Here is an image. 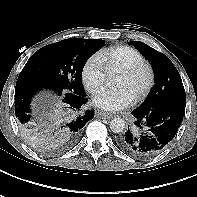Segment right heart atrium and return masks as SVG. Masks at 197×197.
<instances>
[{
  "instance_id": "1",
  "label": "right heart atrium",
  "mask_w": 197,
  "mask_h": 197,
  "mask_svg": "<svg viewBox=\"0 0 197 197\" xmlns=\"http://www.w3.org/2000/svg\"><path fill=\"white\" fill-rule=\"evenodd\" d=\"M107 70L98 55L91 56L83 65L81 79L86 89L94 94L105 83Z\"/></svg>"
}]
</instances>
